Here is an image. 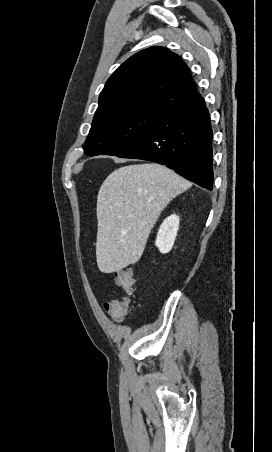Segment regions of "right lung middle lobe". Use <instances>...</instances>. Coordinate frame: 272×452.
Listing matches in <instances>:
<instances>
[{"label":"right lung middle lobe","mask_w":272,"mask_h":452,"mask_svg":"<svg viewBox=\"0 0 272 452\" xmlns=\"http://www.w3.org/2000/svg\"><path fill=\"white\" fill-rule=\"evenodd\" d=\"M161 114L129 110L94 119L83 146L85 154L117 156L137 141Z\"/></svg>","instance_id":"right-lung-middle-lobe-1"}]
</instances>
